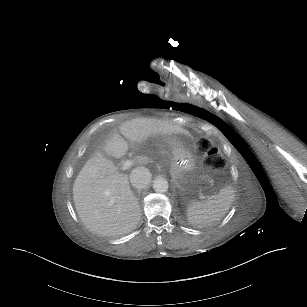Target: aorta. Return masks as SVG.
I'll return each mask as SVG.
<instances>
[{"label": "aorta", "mask_w": 307, "mask_h": 307, "mask_svg": "<svg viewBox=\"0 0 307 307\" xmlns=\"http://www.w3.org/2000/svg\"><path fill=\"white\" fill-rule=\"evenodd\" d=\"M153 189L156 193H165L169 189L168 181L165 179L157 178L153 182Z\"/></svg>", "instance_id": "aorta-1"}]
</instances>
